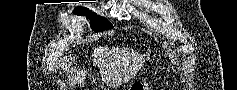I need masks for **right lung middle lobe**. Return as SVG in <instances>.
Masks as SVG:
<instances>
[{"label": "right lung middle lobe", "mask_w": 237, "mask_h": 90, "mask_svg": "<svg viewBox=\"0 0 237 90\" xmlns=\"http://www.w3.org/2000/svg\"><path fill=\"white\" fill-rule=\"evenodd\" d=\"M73 12L76 15H85L87 16V18L92 19L90 25L94 32H99L113 28V25L106 18L98 16L95 13H92L89 9L83 7H77L74 9Z\"/></svg>", "instance_id": "obj_1"}]
</instances>
